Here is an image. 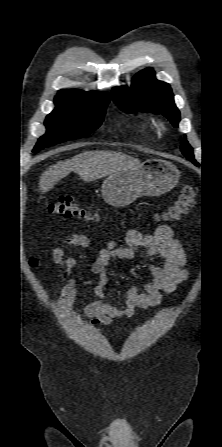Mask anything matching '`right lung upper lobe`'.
<instances>
[{"label":"right lung upper lobe","instance_id":"right-lung-upper-lobe-1","mask_svg":"<svg viewBox=\"0 0 222 447\" xmlns=\"http://www.w3.org/2000/svg\"><path fill=\"white\" fill-rule=\"evenodd\" d=\"M60 96H69L79 99H92V98H107L110 99L109 95L106 92L103 93H93V92H85L83 90L76 89H63L59 90L58 94Z\"/></svg>","mask_w":222,"mask_h":447}]
</instances>
